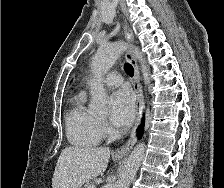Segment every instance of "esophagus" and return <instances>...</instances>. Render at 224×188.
<instances>
[{
	"instance_id": "1",
	"label": "esophagus",
	"mask_w": 224,
	"mask_h": 188,
	"mask_svg": "<svg viewBox=\"0 0 224 188\" xmlns=\"http://www.w3.org/2000/svg\"><path fill=\"white\" fill-rule=\"evenodd\" d=\"M124 32H125V39L130 46L126 52L125 57H126V60H128L134 68L133 89L136 94V122H135L134 128L131 131L128 141L122 147H120L114 152L115 156H125L133 148L136 142V131L141 122V117H142L143 108H144V96H143L142 86L140 83V72L137 65V61L131 49V45L133 44V41H134V36H133L132 30L127 24H124Z\"/></svg>"
}]
</instances>
